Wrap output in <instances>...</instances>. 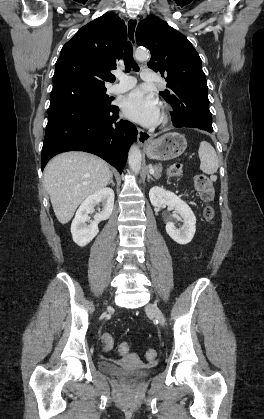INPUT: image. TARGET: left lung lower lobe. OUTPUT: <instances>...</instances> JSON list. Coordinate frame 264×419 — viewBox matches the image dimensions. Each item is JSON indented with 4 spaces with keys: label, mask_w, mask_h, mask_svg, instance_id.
<instances>
[{
    "label": "left lung lower lobe",
    "mask_w": 264,
    "mask_h": 419,
    "mask_svg": "<svg viewBox=\"0 0 264 419\" xmlns=\"http://www.w3.org/2000/svg\"><path fill=\"white\" fill-rule=\"evenodd\" d=\"M172 118L175 127L197 128L210 133L213 131L209 100L205 94L185 99L182 105L174 108Z\"/></svg>",
    "instance_id": "1"
}]
</instances>
